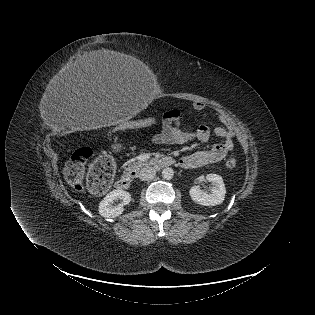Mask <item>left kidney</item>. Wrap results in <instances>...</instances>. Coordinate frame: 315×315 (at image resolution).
I'll list each match as a JSON object with an SVG mask.
<instances>
[{
	"instance_id": "1",
	"label": "left kidney",
	"mask_w": 315,
	"mask_h": 315,
	"mask_svg": "<svg viewBox=\"0 0 315 315\" xmlns=\"http://www.w3.org/2000/svg\"><path fill=\"white\" fill-rule=\"evenodd\" d=\"M206 179L212 183L210 193L200 189L199 186H193L190 189V196L194 202L204 206L219 205L224 201L226 188L221 176L217 174H208Z\"/></svg>"
}]
</instances>
